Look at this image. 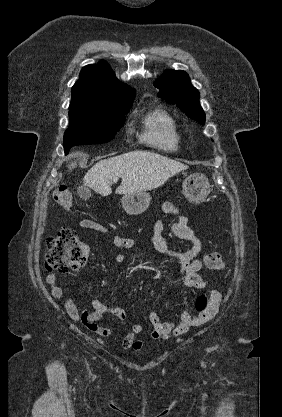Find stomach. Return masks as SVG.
Masks as SVG:
<instances>
[{"label":"stomach","mask_w":282,"mask_h":417,"mask_svg":"<svg viewBox=\"0 0 282 417\" xmlns=\"http://www.w3.org/2000/svg\"><path fill=\"white\" fill-rule=\"evenodd\" d=\"M183 194L190 202H203L210 192V182L201 172L189 174L183 180ZM151 196L149 192H128L121 198L124 211L128 215H141L150 204Z\"/></svg>","instance_id":"stomach-1"}]
</instances>
